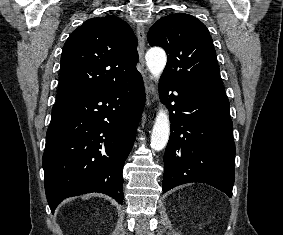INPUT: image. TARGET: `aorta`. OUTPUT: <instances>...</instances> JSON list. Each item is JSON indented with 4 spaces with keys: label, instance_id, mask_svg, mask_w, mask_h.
I'll use <instances>...</instances> for the list:
<instances>
[{
    "label": "aorta",
    "instance_id": "1",
    "mask_svg": "<svg viewBox=\"0 0 283 235\" xmlns=\"http://www.w3.org/2000/svg\"><path fill=\"white\" fill-rule=\"evenodd\" d=\"M146 64L155 79H159L167 62V56L163 49L155 47L148 50L145 56ZM170 121L165 109L161 106L153 126L151 134V147L155 151L162 150L169 140Z\"/></svg>",
    "mask_w": 283,
    "mask_h": 235
}]
</instances>
